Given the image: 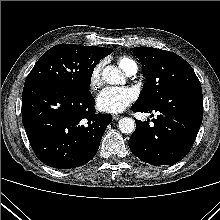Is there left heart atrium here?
<instances>
[{"mask_svg":"<svg viewBox=\"0 0 220 220\" xmlns=\"http://www.w3.org/2000/svg\"><path fill=\"white\" fill-rule=\"evenodd\" d=\"M137 98L136 91L131 87H106L96 98L100 111L120 113Z\"/></svg>","mask_w":220,"mask_h":220,"instance_id":"left-heart-atrium-1","label":"left heart atrium"}]
</instances>
